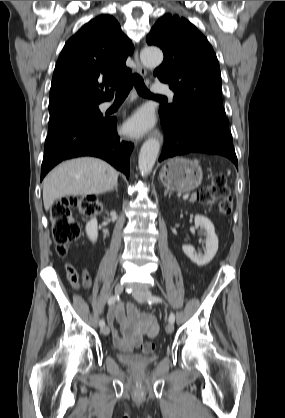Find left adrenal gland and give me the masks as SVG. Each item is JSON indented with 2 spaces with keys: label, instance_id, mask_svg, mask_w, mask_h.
<instances>
[{
  "label": "left adrenal gland",
  "instance_id": "a2214340",
  "mask_svg": "<svg viewBox=\"0 0 285 418\" xmlns=\"http://www.w3.org/2000/svg\"><path fill=\"white\" fill-rule=\"evenodd\" d=\"M169 193V195H171V192L170 191H168V190H165V192H164V196L166 197V195Z\"/></svg>",
  "mask_w": 285,
  "mask_h": 418
}]
</instances>
